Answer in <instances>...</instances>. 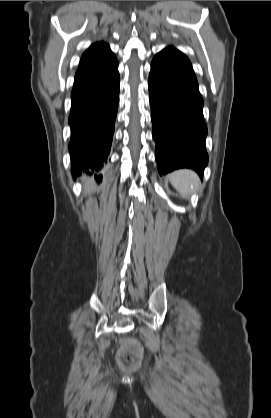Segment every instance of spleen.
I'll return each mask as SVG.
<instances>
[{
	"mask_svg": "<svg viewBox=\"0 0 271 418\" xmlns=\"http://www.w3.org/2000/svg\"><path fill=\"white\" fill-rule=\"evenodd\" d=\"M168 179L172 186L183 196L189 197L200 188L198 175L189 169H180L169 174Z\"/></svg>",
	"mask_w": 271,
	"mask_h": 418,
	"instance_id": "1",
	"label": "spleen"
}]
</instances>
